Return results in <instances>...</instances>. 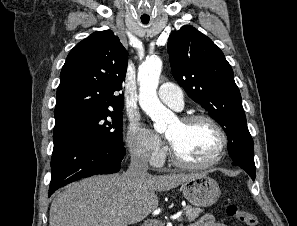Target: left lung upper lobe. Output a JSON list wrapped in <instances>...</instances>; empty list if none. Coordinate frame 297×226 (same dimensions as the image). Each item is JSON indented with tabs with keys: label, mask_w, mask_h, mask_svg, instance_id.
Masks as SVG:
<instances>
[{
	"label": "left lung upper lobe",
	"mask_w": 297,
	"mask_h": 226,
	"mask_svg": "<svg viewBox=\"0 0 297 226\" xmlns=\"http://www.w3.org/2000/svg\"><path fill=\"white\" fill-rule=\"evenodd\" d=\"M167 47L174 78L222 126L233 162H254L240 91L223 52L189 25L171 33Z\"/></svg>",
	"instance_id": "1"
}]
</instances>
